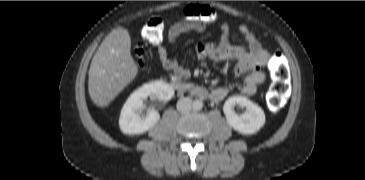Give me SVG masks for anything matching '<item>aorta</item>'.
I'll use <instances>...</instances> for the list:
<instances>
[{"mask_svg":"<svg viewBox=\"0 0 365 180\" xmlns=\"http://www.w3.org/2000/svg\"><path fill=\"white\" fill-rule=\"evenodd\" d=\"M192 108L194 110H201L203 108V102L201 100H194L192 103Z\"/></svg>","mask_w":365,"mask_h":180,"instance_id":"aorta-1","label":"aorta"}]
</instances>
